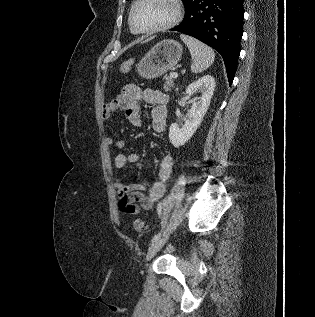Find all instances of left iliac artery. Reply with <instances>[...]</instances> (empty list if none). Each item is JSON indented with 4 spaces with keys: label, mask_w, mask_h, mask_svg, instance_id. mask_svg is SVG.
<instances>
[{
    "label": "left iliac artery",
    "mask_w": 315,
    "mask_h": 317,
    "mask_svg": "<svg viewBox=\"0 0 315 317\" xmlns=\"http://www.w3.org/2000/svg\"><path fill=\"white\" fill-rule=\"evenodd\" d=\"M162 207H163V203H162V202H159L158 207H157V211H158V214H159V215H161ZM160 236H161V233L156 234V235L152 238L151 242L153 243L154 241L158 240V239L160 238Z\"/></svg>",
    "instance_id": "obj_1"
}]
</instances>
